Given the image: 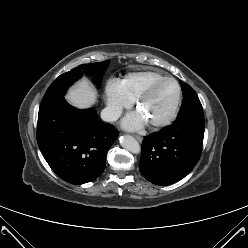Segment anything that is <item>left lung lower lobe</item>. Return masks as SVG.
<instances>
[{
    "label": "left lung lower lobe",
    "instance_id": "obj_1",
    "mask_svg": "<svg viewBox=\"0 0 248 248\" xmlns=\"http://www.w3.org/2000/svg\"><path fill=\"white\" fill-rule=\"evenodd\" d=\"M204 137V116L176 119L172 125L146 136L139 168L157 185L173 184L197 164Z\"/></svg>",
    "mask_w": 248,
    "mask_h": 248
}]
</instances>
